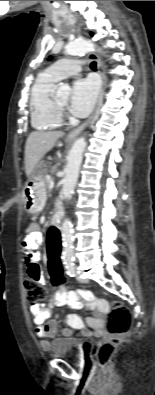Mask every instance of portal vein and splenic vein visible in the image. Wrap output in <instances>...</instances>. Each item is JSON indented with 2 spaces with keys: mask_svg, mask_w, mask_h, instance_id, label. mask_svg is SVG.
<instances>
[{
  "mask_svg": "<svg viewBox=\"0 0 155 395\" xmlns=\"http://www.w3.org/2000/svg\"><path fill=\"white\" fill-rule=\"evenodd\" d=\"M53 187H54V182L51 181V182H50V185H49V188L52 189Z\"/></svg>",
  "mask_w": 155,
  "mask_h": 395,
  "instance_id": "obj_1",
  "label": "portal vein and splenic vein"
}]
</instances>
